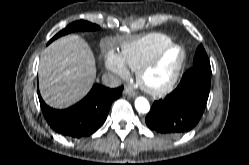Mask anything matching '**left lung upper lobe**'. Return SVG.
<instances>
[{
    "label": "left lung upper lobe",
    "instance_id": "1",
    "mask_svg": "<svg viewBox=\"0 0 249 165\" xmlns=\"http://www.w3.org/2000/svg\"><path fill=\"white\" fill-rule=\"evenodd\" d=\"M193 67L211 69L208 56L202 45H200L197 48L194 61H193Z\"/></svg>",
    "mask_w": 249,
    "mask_h": 165
}]
</instances>
